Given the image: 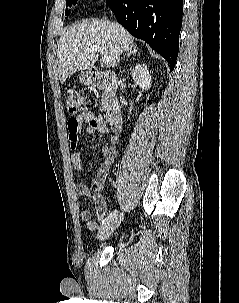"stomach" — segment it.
Segmentation results:
<instances>
[{
    "mask_svg": "<svg viewBox=\"0 0 239 303\" xmlns=\"http://www.w3.org/2000/svg\"><path fill=\"white\" fill-rule=\"evenodd\" d=\"M79 80L85 85L91 84V78L89 77L88 72H82L79 76Z\"/></svg>",
    "mask_w": 239,
    "mask_h": 303,
    "instance_id": "stomach-1",
    "label": "stomach"
}]
</instances>
